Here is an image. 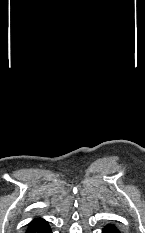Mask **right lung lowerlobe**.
Instances as JSON below:
<instances>
[{"label": "right lung lower lobe", "instance_id": "right-lung-lower-lobe-1", "mask_svg": "<svg viewBox=\"0 0 145 233\" xmlns=\"http://www.w3.org/2000/svg\"><path fill=\"white\" fill-rule=\"evenodd\" d=\"M26 233H52L47 221L43 219H35L27 228Z\"/></svg>", "mask_w": 145, "mask_h": 233}]
</instances>
